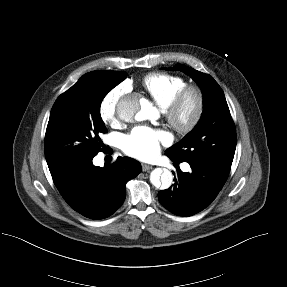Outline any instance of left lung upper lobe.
Segmentation results:
<instances>
[{
	"label": "left lung upper lobe",
	"mask_w": 287,
	"mask_h": 287,
	"mask_svg": "<svg viewBox=\"0 0 287 287\" xmlns=\"http://www.w3.org/2000/svg\"><path fill=\"white\" fill-rule=\"evenodd\" d=\"M190 75L200 86L204 110L197 126L165 151L177 161H199L229 173L236 149V131L224 93L214 78L185 65L173 69Z\"/></svg>",
	"instance_id": "obj_1"
}]
</instances>
